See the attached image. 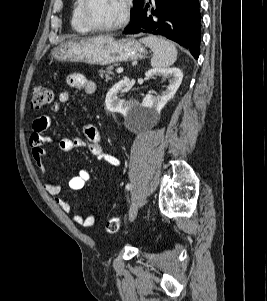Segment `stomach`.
<instances>
[{"label":"stomach","mask_w":267,"mask_h":301,"mask_svg":"<svg viewBox=\"0 0 267 301\" xmlns=\"http://www.w3.org/2000/svg\"><path fill=\"white\" fill-rule=\"evenodd\" d=\"M147 54L144 44L132 37L116 40L111 36L89 39H70L60 43L51 53L60 62H83L108 65L143 59Z\"/></svg>","instance_id":"1"}]
</instances>
